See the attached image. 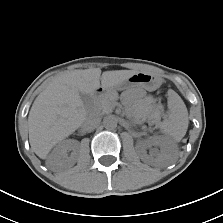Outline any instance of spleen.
<instances>
[{"label": "spleen", "mask_w": 223, "mask_h": 223, "mask_svg": "<svg viewBox=\"0 0 223 223\" xmlns=\"http://www.w3.org/2000/svg\"><path fill=\"white\" fill-rule=\"evenodd\" d=\"M170 114V132L176 139H181L188 127V111L178 94L171 91L168 99Z\"/></svg>", "instance_id": "3e777b00"}]
</instances>
